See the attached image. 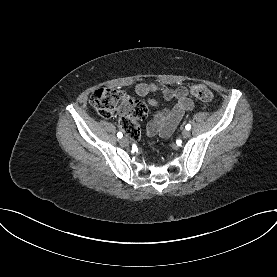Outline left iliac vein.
<instances>
[{
	"label": "left iliac vein",
	"instance_id": "left-iliac-vein-1",
	"mask_svg": "<svg viewBox=\"0 0 277 277\" xmlns=\"http://www.w3.org/2000/svg\"><path fill=\"white\" fill-rule=\"evenodd\" d=\"M182 136H183V138H188L190 136V131L189 130H183Z\"/></svg>",
	"mask_w": 277,
	"mask_h": 277
}]
</instances>
